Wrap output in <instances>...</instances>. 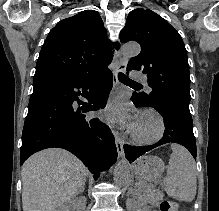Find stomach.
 Listing matches in <instances>:
<instances>
[{
  "label": "stomach",
  "instance_id": "obj_1",
  "mask_svg": "<svg viewBox=\"0 0 219 211\" xmlns=\"http://www.w3.org/2000/svg\"><path fill=\"white\" fill-rule=\"evenodd\" d=\"M165 169L164 162L157 156H142L133 165L134 172L148 181L160 178Z\"/></svg>",
  "mask_w": 219,
  "mask_h": 211
}]
</instances>
